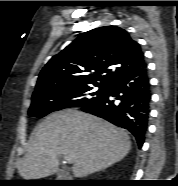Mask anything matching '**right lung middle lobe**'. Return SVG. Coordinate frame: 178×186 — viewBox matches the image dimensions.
Here are the masks:
<instances>
[{
	"label": "right lung middle lobe",
	"instance_id": "obj_1",
	"mask_svg": "<svg viewBox=\"0 0 178 186\" xmlns=\"http://www.w3.org/2000/svg\"><path fill=\"white\" fill-rule=\"evenodd\" d=\"M93 86L98 87L97 91ZM108 84H89L72 88L51 89L33 94L29 115L42 118L47 114L68 107H82L99 97L107 90Z\"/></svg>",
	"mask_w": 178,
	"mask_h": 186
}]
</instances>
